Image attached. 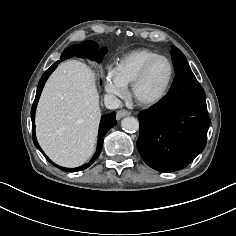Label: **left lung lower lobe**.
Returning <instances> with one entry per match:
<instances>
[{"label":"left lung lower lobe","mask_w":236,"mask_h":236,"mask_svg":"<svg viewBox=\"0 0 236 236\" xmlns=\"http://www.w3.org/2000/svg\"><path fill=\"white\" fill-rule=\"evenodd\" d=\"M138 118V151L157 171L181 170L205 148L210 119L205 93L190 68L176 72L168 94Z\"/></svg>","instance_id":"1"}]
</instances>
